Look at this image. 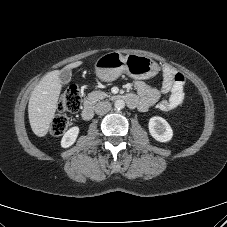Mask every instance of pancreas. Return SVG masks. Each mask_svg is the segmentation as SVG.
I'll return each instance as SVG.
<instances>
[{
	"label": "pancreas",
	"mask_w": 227,
	"mask_h": 227,
	"mask_svg": "<svg viewBox=\"0 0 227 227\" xmlns=\"http://www.w3.org/2000/svg\"><path fill=\"white\" fill-rule=\"evenodd\" d=\"M109 97V95L105 92L102 91H92L91 93L88 94L87 99L92 102H96L100 99Z\"/></svg>",
	"instance_id": "cf45deb5"
}]
</instances>
